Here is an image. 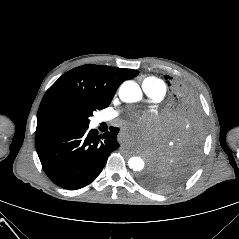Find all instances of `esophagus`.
<instances>
[{
  "label": "esophagus",
  "instance_id": "obj_1",
  "mask_svg": "<svg viewBox=\"0 0 239 239\" xmlns=\"http://www.w3.org/2000/svg\"><path fill=\"white\" fill-rule=\"evenodd\" d=\"M117 140H118L119 142H124V141L126 140V135H125L124 133H119V134L117 135Z\"/></svg>",
  "mask_w": 239,
  "mask_h": 239
}]
</instances>
